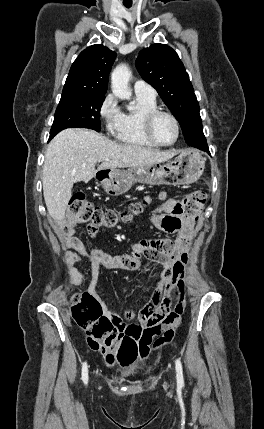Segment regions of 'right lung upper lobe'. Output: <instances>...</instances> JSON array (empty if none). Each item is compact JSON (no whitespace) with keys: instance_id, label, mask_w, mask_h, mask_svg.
Here are the masks:
<instances>
[{"instance_id":"obj_1","label":"right lung upper lobe","mask_w":264,"mask_h":429,"mask_svg":"<svg viewBox=\"0 0 264 429\" xmlns=\"http://www.w3.org/2000/svg\"><path fill=\"white\" fill-rule=\"evenodd\" d=\"M116 53L103 45L83 50L72 64L62 94L105 95Z\"/></svg>"}]
</instances>
